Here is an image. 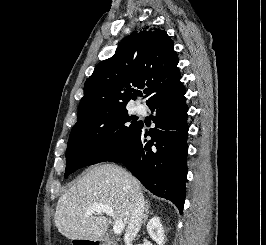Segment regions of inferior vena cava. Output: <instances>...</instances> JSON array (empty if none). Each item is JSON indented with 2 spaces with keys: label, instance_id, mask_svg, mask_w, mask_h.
I'll return each mask as SVG.
<instances>
[{
  "label": "inferior vena cava",
  "instance_id": "inferior-vena-cava-1",
  "mask_svg": "<svg viewBox=\"0 0 266 245\" xmlns=\"http://www.w3.org/2000/svg\"><path fill=\"white\" fill-rule=\"evenodd\" d=\"M145 209L144 197L141 191H131L130 219L124 235L125 245H132L141 229Z\"/></svg>",
  "mask_w": 266,
  "mask_h": 245
}]
</instances>
